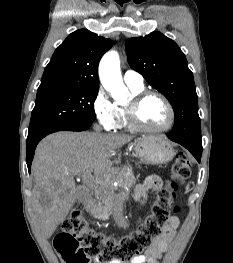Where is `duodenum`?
<instances>
[{
	"instance_id": "obj_1",
	"label": "duodenum",
	"mask_w": 233,
	"mask_h": 263,
	"mask_svg": "<svg viewBox=\"0 0 233 263\" xmlns=\"http://www.w3.org/2000/svg\"><path fill=\"white\" fill-rule=\"evenodd\" d=\"M85 209L88 211H91L94 208L95 202L93 200V198L88 197L85 201Z\"/></svg>"
}]
</instances>
